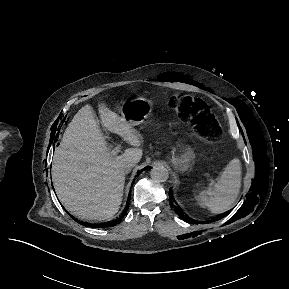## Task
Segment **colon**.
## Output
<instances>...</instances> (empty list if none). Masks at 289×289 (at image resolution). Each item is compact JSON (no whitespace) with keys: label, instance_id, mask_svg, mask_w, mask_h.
Wrapping results in <instances>:
<instances>
[{"label":"colon","instance_id":"1","mask_svg":"<svg viewBox=\"0 0 289 289\" xmlns=\"http://www.w3.org/2000/svg\"><path fill=\"white\" fill-rule=\"evenodd\" d=\"M175 110L193 127L194 131L208 141H216L219 135L214 118L206 103L195 97L174 96Z\"/></svg>","mask_w":289,"mask_h":289}]
</instances>
